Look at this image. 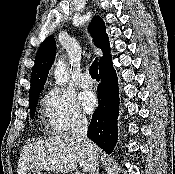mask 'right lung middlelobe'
I'll list each match as a JSON object with an SVG mask.
<instances>
[{"label":"right lung middle lobe","mask_w":175,"mask_h":174,"mask_svg":"<svg viewBox=\"0 0 175 174\" xmlns=\"http://www.w3.org/2000/svg\"><path fill=\"white\" fill-rule=\"evenodd\" d=\"M38 97L32 99L29 101V106H30V115L31 117H34L35 115V110H36V103H37Z\"/></svg>","instance_id":"1"}]
</instances>
